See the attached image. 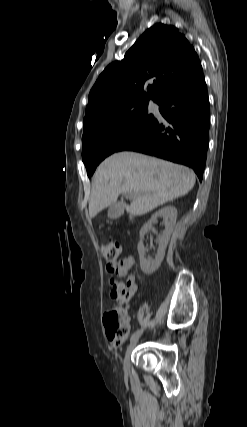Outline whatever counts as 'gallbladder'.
Listing matches in <instances>:
<instances>
[{"mask_svg":"<svg viewBox=\"0 0 247 427\" xmlns=\"http://www.w3.org/2000/svg\"><path fill=\"white\" fill-rule=\"evenodd\" d=\"M125 204L122 201L111 204L108 208V216L111 219L120 217L124 212Z\"/></svg>","mask_w":247,"mask_h":427,"instance_id":"gallbladder-1","label":"gallbladder"}]
</instances>
